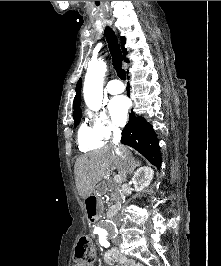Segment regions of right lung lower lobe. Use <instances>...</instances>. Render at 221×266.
<instances>
[{"instance_id": "obj_1", "label": "right lung lower lobe", "mask_w": 221, "mask_h": 266, "mask_svg": "<svg viewBox=\"0 0 221 266\" xmlns=\"http://www.w3.org/2000/svg\"><path fill=\"white\" fill-rule=\"evenodd\" d=\"M127 92L129 95V89ZM121 143L133 147L158 169L161 166L159 142L153 127L144 118L137 117L133 111L122 131Z\"/></svg>"}]
</instances>
